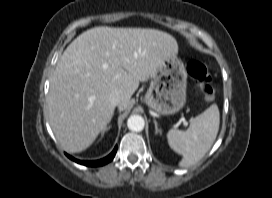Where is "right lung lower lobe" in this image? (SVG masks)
Returning a JSON list of instances; mask_svg holds the SVG:
<instances>
[{
	"mask_svg": "<svg viewBox=\"0 0 272 198\" xmlns=\"http://www.w3.org/2000/svg\"><path fill=\"white\" fill-rule=\"evenodd\" d=\"M116 151H117V147L114 148V150L112 151V153L110 155H108L107 157L101 159V160H97V161H80V160H77L75 158H73L72 156L67 155V157H69L71 160L79 163V164H82V165H85V166H93V167H96V166H102V165H105L107 164L108 162L112 161V159L114 158L115 154H116Z\"/></svg>",
	"mask_w": 272,
	"mask_h": 198,
	"instance_id": "1",
	"label": "right lung lower lobe"
}]
</instances>
